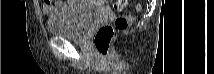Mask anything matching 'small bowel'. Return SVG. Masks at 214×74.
Instances as JSON below:
<instances>
[{"instance_id": "obj_1", "label": "small bowel", "mask_w": 214, "mask_h": 74, "mask_svg": "<svg viewBox=\"0 0 214 74\" xmlns=\"http://www.w3.org/2000/svg\"><path fill=\"white\" fill-rule=\"evenodd\" d=\"M70 4L71 3L69 1H58L55 3V6H52L49 2H43L41 5V10L45 15H52L53 13H55L56 9L69 6Z\"/></svg>"}]
</instances>
